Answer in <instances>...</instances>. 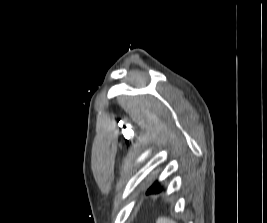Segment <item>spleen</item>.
<instances>
[{"instance_id": "obj_1", "label": "spleen", "mask_w": 267, "mask_h": 223, "mask_svg": "<svg viewBox=\"0 0 267 223\" xmlns=\"http://www.w3.org/2000/svg\"><path fill=\"white\" fill-rule=\"evenodd\" d=\"M156 223H175V222L170 220V219H168V218L160 217V218H158Z\"/></svg>"}]
</instances>
